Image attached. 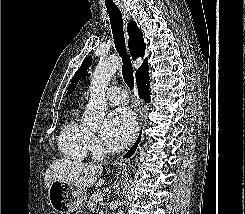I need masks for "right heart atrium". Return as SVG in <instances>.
Wrapping results in <instances>:
<instances>
[{"label":"right heart atrium","instance_id":"1","mask_svg":"<svg viewBox=\"0 0 245 214\" xmlns=\"http://www.w3.org/2000/svg\"><path fill=\"white\" fill-rule=\"evenodd\" d=\"M89 150L93 153V154H98L99 152V148H100V144L98 139L96 138V136L94 134H90L89 135Z\"/></svg>","mask_w":245,"mask_h":214}]
</instances>
